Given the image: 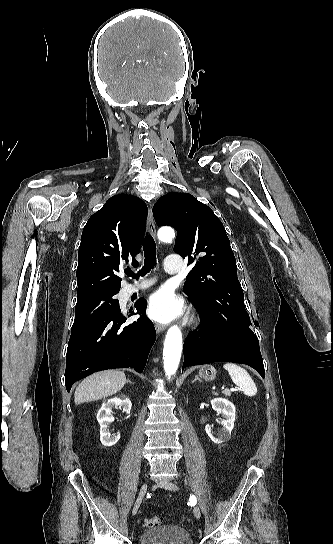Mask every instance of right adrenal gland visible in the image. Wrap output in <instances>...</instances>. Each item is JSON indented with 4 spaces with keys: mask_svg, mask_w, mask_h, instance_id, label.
I'll return each mask as SVG.
<instances>
[{
    "mask_svg": "<svg viewBox=\"0 0 333 544\" xmlns=\"http://www.w3.org/2000/svg\"><path fill=\"white\" fill-rule=\"evenodd\" d=\"M127 383L133 384L130 380H127Z\"/></svg>",
    "mask_w": 333,
    "mask_h": 544,
    "instance_id": "2a0ac1e0",
    "label": "right adrenal gland"
}]
</instances>
